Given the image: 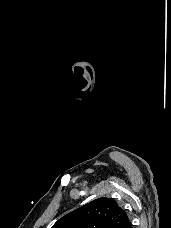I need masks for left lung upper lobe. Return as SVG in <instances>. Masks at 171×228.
Here are the masks:
<instances>
[{
	"label": "left lung upper lobe",
	"instance_id": "5c2ea615",
	"mask_svg": "<svg viewBox=\"0 0 171 228\" xmlns=\"http://www.w3.org/2000/svg\"><path fill=\"white\" fill-rule=\"evenodd\" d=\"M128 221L114 199L99 198L63 216L52 228H122Z\"/></svg>",
	"mask_w": 171,
	"mask_h": 228
}]
</instances>
